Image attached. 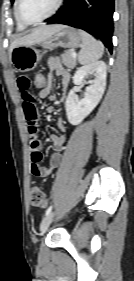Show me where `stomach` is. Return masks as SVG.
Returning a JSON list of instances; mask_svg holds the SVG:
<instances>
[{
  "instance_id": "stomach-1",
  "label": "stomach",
  "mask_w": 134,
  "mask_h": 281,
  "mask_svg": "<svg viewBox=\"0 0 134 281\" xmlns=\"http://www.w3.org/2000/svg\"><path fill=\"white\" fill-rule=\"evenodd\" d=\"M81 42V31L69 26H62L59 31L39 43L15 47L11 51L10 60L17 71L28 72L33 70L42 58L38 47L47 50H53L59 46L76 48Z\"/></svg>"
}]
</instances>
